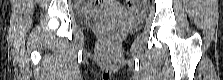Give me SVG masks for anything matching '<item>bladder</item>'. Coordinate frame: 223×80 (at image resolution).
<instances>
[{"instance_id": "bladder-1", "label": "bladder", "mask_w": 223, "mask_h": 80, "mask_svg": "<svg viewBox=\"0 0 223 80\" xmlns=\"http://www.w3.org/2000/svg\"><path fill=\"white\" fill-rule=\"evenodd\" d=\"M105 15H120L114 8H105Z\"/></svg>"}]
</instances>
